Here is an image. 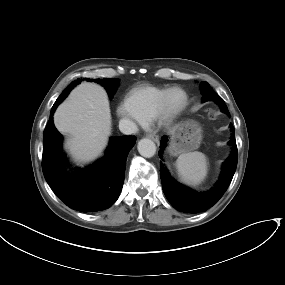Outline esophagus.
<instances>
[{
  "label": "esophagus",
  "mask_w": 285,
  "mask_h": 285,
  "mask_svg": "<svg viewBox=\"0 0 285 285\" xmlns=\"http://www.w3.org/2000/svg\"><path fill=\"white\" fill-rule=\"evenodd\" d=\"M149 138L152 139L154 142L159 143V137L157 135H149Z\"/></svg>",
  "instance_id": "esophagus-1"
}]
</instances>
